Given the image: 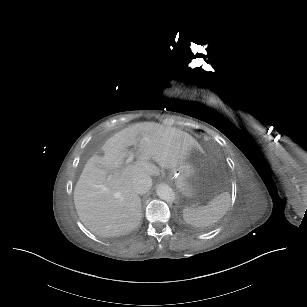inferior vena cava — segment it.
<instances>
[{"mask_svg":"<svg viewBox=\"0 0 307 307\" xmlns=\"http://www.w3.org/2000/svg\"><path fill=\"white\" fill-rule=\"evenodd\" d=\"M152 186V179L149 175L140 174L133 178L132 180V189L137 194L147 193Z\"/></svg>","mask_w":307,"mask_h":307,"instance_id":"1","label":"inferior vena cava"}]
</instances>
